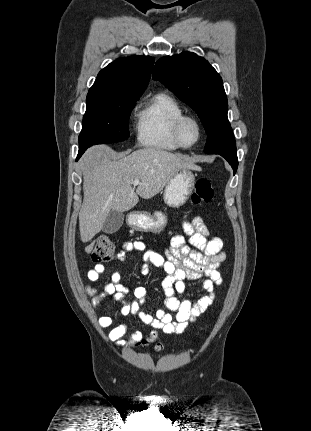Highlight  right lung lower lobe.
Returning a JSON list of instances; mask_svg holds the SVG:
<instances>
[{"instance_id":"1","label":"right lung lower lobe","mask_w":311,"mask_h":431,"mask_svg":"<svg viewBox=\"0 0 311 431\" xmlns=\"http://www.w3.org/2000/svg\"><path fill=\"white\" fill-rule=\"evenodd\" d=\"M85 150L86 149H81V148H79V153H78V156H77V160L80 158V156L85 152Z\"/></svg>"}]
</instances>
